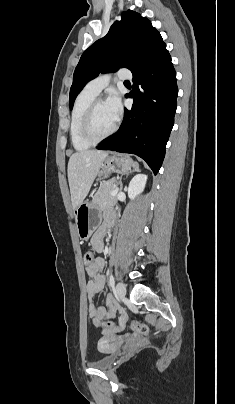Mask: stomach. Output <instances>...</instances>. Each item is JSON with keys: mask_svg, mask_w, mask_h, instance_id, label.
I'll return each instance as SVG.
<instances>
[{"mask_svg": "<svg viewBox=\"0 0 235 404\" xmlns=\"http://www.w3.org/2000/svg\"><path fill=\"white\" fill-rule=\"evenodd\" d=\"M133 166L134 162L129 156L112 154L105 158L99 177H105L111 173L124 174L130 171ZM74 217L78 237L81 240H88L101 223L102 211L94 203L83 202L74 210Z\"/></svg>", "mask_w": 235, "mask_h": 404, "instance_id": "0dacf381", "label": "stomach"}]
</instances>
